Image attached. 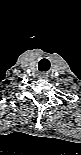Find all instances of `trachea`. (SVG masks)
Masks as SVG:
<instances>
[{"label": "trachea", "instance_id": "3493384b", "mask_svg": "<svg viewBox=\"0 0 81 155\" xmlns=\"http://www.w3.org/2000/svg\"><path fill=\"white\" fill-rule=\"evenodd\" d=\"M49 66H50L49 61L46 59H43L39 63V70L40 71H47L49 69Z\"/></svg>", "mask_w": 81, "mask_h": 155}]
</instances>
